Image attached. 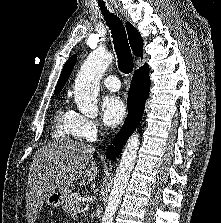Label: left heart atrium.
Instances as JSON below:
<instances>
[{
  "label": "left heart atrium",
  "instance_id": "left-heart-atrium-1",
  "mask_svg": "<svg viewBox=\"0 0 221 223\" xmlns=\"http://www.w3.org/2000/svg\"><path fill=\"white\" fill-rule=\"evenodd\" d=\"M102 119L109 126L119 125L126 115L124 102L115 96L107 97L101 104Z\"/></svg>",
  "mask_w": 221,
  "mask_h": 223
}]
</instances>
